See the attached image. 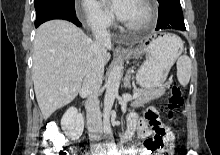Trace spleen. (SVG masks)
Instances as JSON below:
<instances>
[{
  "label": "spleen",
  "instance_id": "obj_1",
  "mask_svg": "<svg viewBox=\"0 0 220 155\" xmlns=\"http://www.w3.org/2000/svg\"><path fill=\"white\" fill-rule=\"evenodd\" d=\"M176 65H177V79L179 83L183 87H185L190 81V77L192 73L191 71L192 62L190 58L186 54H184L178 58Z\"/></svg>",
  "mask_w": 220,
  "mask_h": 155
}]
</instances>
